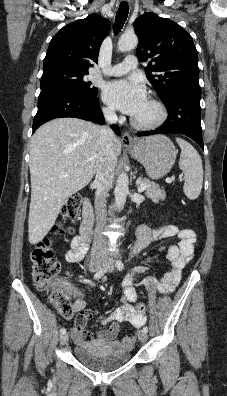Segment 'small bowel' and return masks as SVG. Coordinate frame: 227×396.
Wrapping results in <instances>:
<instances>
[{"mask_svg": "<svg viewBox=\"0 0 227 396\" xmlns=\"http://www.w3.org/2000/svg\"><path fill=\"white\" fill-rule=\"evenodd\" d=\"M172 237H178L179 242L167 248V258L171 263L170 270L164 275L160 282L156 284V288L160 293L172 292L178 285L183 268L192 259L196 236L194 231L190 229H179L172 224H165L157 229H151L147 225H141L137 229L136 242L134 250L140 252L146 249L155 241H160ZM88 247L80 237H75L71 242V249L66 253L65 258L70 263L81 261ZM147 270V267L140 266L131 273L122 285V305L117 307L108 317L102 321L109 323L107 329L97 332L94 337L90 331L86 329V324L92 317L90 310H85L86 302L83 293L72 284L63 282L62 286L67 294L74 299L73 312L78 313L73 329L74 339L77 343H97L106 346L112 351H121L131 348L136 340V335L131 334L123 339H118L119 323L128 322L135 328H140L146 322L144 313H138L135 309V303L138 300V294L135 290L134 283L138 274Z\"/></svg>", "mask_w": 227, "mask_h": 396, "instance_id": "obj_1", "label": "small bowel"}]
</instances>
